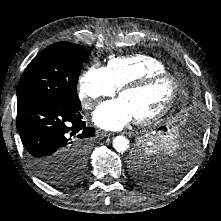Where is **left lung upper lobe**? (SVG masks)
Instances as JSON below:
<instances>
[{
  "label": "left lung upper lobe",
  "instance_id": "1",
  "mask_svg": "<svg viewBox=\"0 0 221 221\" xmlns=\"http://www.w3.org/2000/svg\"><path fill=\"white\" fill-rule=\"evenodd\" d=\"M163 164L162 157L145 154L143 149L136 150L131 156L134 177L149 186H164L169 182L171 176L161 173L164 172Z\"/></svg>",
  "mask_w": 221,
  "mask_h": 221
}]
</instances>
